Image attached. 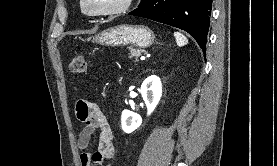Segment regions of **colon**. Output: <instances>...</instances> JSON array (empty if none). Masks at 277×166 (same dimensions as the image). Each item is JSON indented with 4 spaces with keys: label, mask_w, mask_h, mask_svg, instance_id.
<instances>
[{
    "label": "colon",
    "mask_w": 277,
    "mask_h": 166,
    "mask_svg": "<svg viewBox=\"0 0 277 166\" xmlns=\"http://www.w3.org/2000/svg\"><path fill=\"white\" fill-rule=\"evenodd\" d=\"M70 71L75 74H85L88 69L87 59L84 54H77L69 65Z\"/></svg>",
    "instance_id": "obj_1"
}]
</instances>
